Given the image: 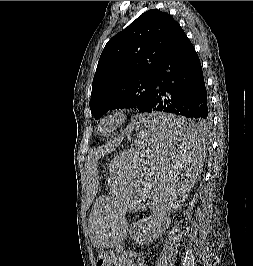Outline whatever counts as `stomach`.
Wrapping results in <instances>:
<instances>
[{
	"mask_svg": "<svg viewBox=\"0 0 253 266\" xmlns=\"http://www.w3.org/2000/svg\"><path fill=\"white\" fill-rule=\"evenodd\" d=\"M132 150H135L134 147H131L130 149H128L126 152L124 153H132ZM101 248H105V246H100Z\"/></svg>",
	"mask_w": 253,
	"mask_h": 266,
	"instance_id": "obj_1",
	"label": "stomach"
}]
</instances>
